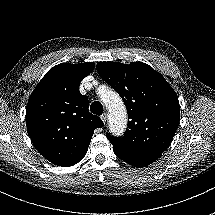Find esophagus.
Segmentation results:
<instances>
[{
	"label": "esophagus",
	"mask_w": 215,
	"mask_h": 215,
	"mask_svg": "<svg viewBox=\"0 0 215 215\" xmlns=\"http://www.w3.org/2000/svg\"><path fill=\"white\" fill-rule=\"evenodd\" d=\"M101 120L103 121V123L105 124L106 121H107V114L106 113H103L101 116H100Z\"/></svg>",
	"instance_id": "34e87169"
}]
</instances>
